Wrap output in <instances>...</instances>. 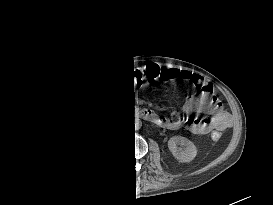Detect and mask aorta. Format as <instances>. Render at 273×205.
Instances as JSON below:
<instances>
[{"label":"aorta","mask_w":273,"mask_h":205,"mask_svg":"<svg viewBox=\"0 0 273 205\" xmlns=\"http://www.w3.org/2000/svg\"><path fill=\"white\" fill-rule=\"evenodd\" d=\"M134 124H135V130H139L142 127V121L138 118L134 119Z\"/></svg>","instance_id":"1"}]
</instances>
